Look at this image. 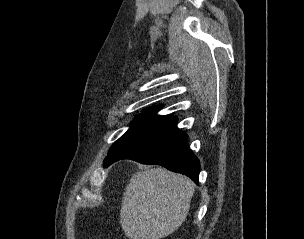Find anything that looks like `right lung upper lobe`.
<instances>
[{
    "label": "right lung upper lobe",
    "instance_id": "right-lung-upper-lobe-1",
    "mask_svg": "<svg viewBox=\"0 0 304 239\" xmlns=\"http://www.w3.org/2000/svg\"><path fill=\"white\" fill-rule=\"evenodd\" d=\"M161 107L162 106L152 107V108L146 109V110L143 111V114L154 116L155 113L157 112V110L160 109ZM159 118H164V119H167L168 121H177V117L172 116V115H165V116H161Z\"/></svg>",
    "mask_w": 304,
    "mask_h": 239
}]
</instances>
